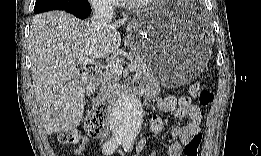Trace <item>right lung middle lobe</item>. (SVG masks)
Instances as JSON below:
<instances>
[{
	"label": "right lung middle lobe",
	"mask_w": 261,
	"mask_h": 156,
	"mask_svg": "<svg viewBox=\"0 0 261 156\" xmlns=\"http://www.w3.org/2000/svg\"><path fill=\"white\" fill-rule=\"evenodd\" d=\"M87 0H36L34 12L39 13L47 10L65 9Z\"/></svg>",
	"instance_id": "dd1d6c3e"
}]
</instances>
